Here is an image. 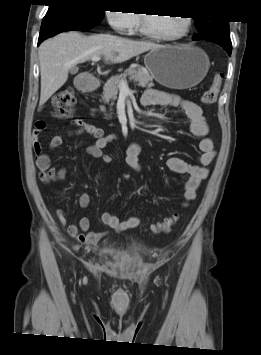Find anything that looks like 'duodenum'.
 <instances>
[{
	"label": "duodenum",
	"mask_w": 261,
	"mask_h": 355,
	"mask_svg": "<svg viewBox=\"0 0 261 355\" xmlns=\"http://www.w3.org/2000/svg\"><path fill=\"white\" fill-rule=\"evenodd\" d=\"M76 85L77 88L83 92L93 91L98 86L93 76L78 79Z\"/></svg>",
	"instance_id": "duodenum-1"
}]
</instances>
